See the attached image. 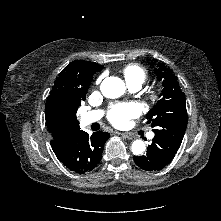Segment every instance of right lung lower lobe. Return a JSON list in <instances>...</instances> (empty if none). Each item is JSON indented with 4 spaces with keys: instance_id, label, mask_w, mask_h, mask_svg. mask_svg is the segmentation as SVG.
I'll list each match as a JSON object with an SVG mask.
<instances>
[{
    "instance_id": "98d812e1",
    "label": "right lung lower lobe",
    "mask_w": 221,
    "mask_h": 221,
    "mask_svg": "<svg viewBox=\"0 0 221 221\" xmlns=\"http://www.w3.org/2000/svg\"><path fill=\"white\" fill-rule=\"evenodd\" d=\"M109 133L98 131L89 135L80 131L71 145L54 151L56 157L68 169L79 174L93 170L102 159Z\"/></svg>"
}]
</instances>
